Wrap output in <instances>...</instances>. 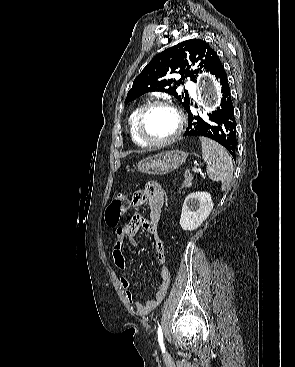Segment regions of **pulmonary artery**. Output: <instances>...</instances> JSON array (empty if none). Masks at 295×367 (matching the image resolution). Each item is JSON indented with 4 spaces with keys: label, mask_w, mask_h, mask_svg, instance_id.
<instances>
[{
    "label": "pulmonary artery",
    "mask_w": 295,
    "mask_h": 367,
    "mask_svg": "<svg viewBox=\"0 0 295 367\" xmlns=\"http://www.w3.org/2000/svg\"><path fill=\"white\" fill-rule=\"evenodd\" d=\"M186 88L194 94V85L190 81L186 82Z\"/></svg>",
    "instance_id": "pulmonary-artery-1"
}]
</instances>
